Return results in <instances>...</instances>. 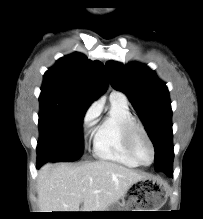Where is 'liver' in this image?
I'll list each match as a JSON object with an SVG mask.
<instances>
[{"instance_id": "6515ba94", "label": "liver", "mask_w": 203, "mask_h": 219, "mask_svg": "<svg viewBox=\"0 0 203 219\" xmlns=\"http://www.w3.org/2000/svg\"><path fill=\"white\" fill-rule=\"evenodd\" d=\"M145 178L144 173L105 160L47 163L38 173V205L41 212L105 211Z\"/></svg>"}]
</instances>
